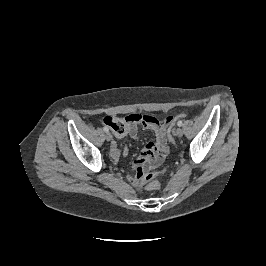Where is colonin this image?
I'll return each instance as SVG.
<instances>
[{
  "label": "colon",
  "mask_w": 266,
  "mask_h": 266,
  "mask_svg": "<svg viewBox=\"0 0 266 266\" xmlns=\"http://www.w3.org/2000/svg\"><path fill=\"white\" fill-rule=\"evenodd\" d=\"M185 117V114L178 115L177 118H183ZM173 125H170L167 130V137L171 143H174V129ZM159 175V173L152 172L147 173L146 175L142 176L141 178V186L146 189L147 191H155L160 189V183L156 180V177Z\"/></svg>",
  "instance_id": "1"
}]
</instances>
